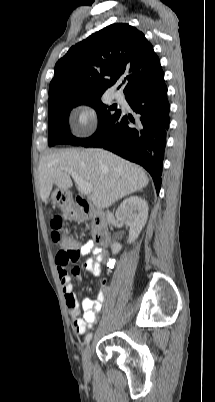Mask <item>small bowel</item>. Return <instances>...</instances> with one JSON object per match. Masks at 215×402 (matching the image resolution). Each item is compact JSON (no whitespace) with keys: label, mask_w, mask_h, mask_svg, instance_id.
I'll list each match as a JSON object with an SVG mask.
<instances>
[{"label":"small bowel","mask_w":215,"mask_h":402,"mask_svg":"<svg viewBox=\"0 0 215 402\" xmlns=\"http://www.w3.org/2000/svg\"><path fill=\"white\" fill-rule=\"evenodd\" d=\"M75 251L78 252L79 258L92 254L93 257H89L84 261V269L94 276L101 275V264L105 261L106 257L101 247L96 246L93 241L89 240L83 245H79ZM56 264L68 313L72 319L73 329L76 334L83 335L87 329L91 328L98 321V313L103 309V303L108 292L106 281L104 279L100 280V288L95 299H84L82 302H79L74 292L75 284L72 281V276L76 278L77 282L80 281L79 267L73 266L74 264L60 262L57 259ZM71 266L75 268L70 271L69 267ZM81 313L82 317H80Z\"/></svg>","instance_id":"c3829d8e"}]
</instances>
